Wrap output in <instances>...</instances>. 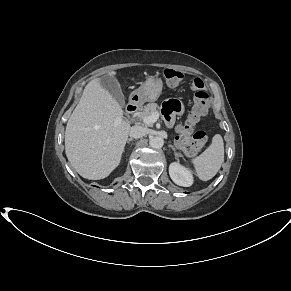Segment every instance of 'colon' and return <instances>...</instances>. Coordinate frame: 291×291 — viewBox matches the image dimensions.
Segmentation results:
<instances>
[{
	"label": "colon",
	"instance_id": "colon-1",
	"mask_svg": "<svg viewBox=\"0 0 291 291\" xmlns=\"http://www.w3.org/2000/svg\"><path fill=\"white\" fill-rule=\"evenodd\" d=\"M164 77L171 85L179 84L184 75L174 69H166ZM192 87L195 90L193 110L184 125L178 129V146L187 154L198 153L206 143L207 134L202 130H194L195 124L206 115L209 105V96L204 90L203 82L195 79ZM176 105L179 104L176 102ZM167 108V107H166Z\"/></svg>",
	"mask_w": 291,
	"mask_h": 291
}]
</instances>
